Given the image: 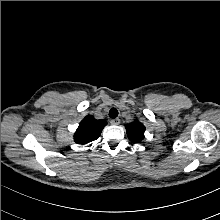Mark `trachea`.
I'll return each instance as SVG.
<instances>
[{"label":"trachea","instance_id":"obj_1","mask_svg":"<svg viewBox=\"0 0 220 220\" xmlns=\"http://www.w3.org/2000/svg\"><path fill=\"white\" fill-rule=\"evenodd\" d=\"M118 116V110L116 108H111L109 111L110 118H116Z\"/></svg>","mask_w":220,"mask_h":220}]
</instances>
